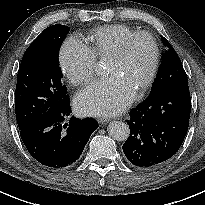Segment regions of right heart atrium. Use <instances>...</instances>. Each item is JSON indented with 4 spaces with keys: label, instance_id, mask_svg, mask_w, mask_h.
<instances>
[{
    "label": "right heart atrium",
    "instance_id": "d8ad5b80",
    "mask_svg": "<svg viewBox=\"0 0 205 205\" xmlns=\"http://www.w3.org/2000/svg\"><path fill=\"white\" fill-rule=\"evenodd\" d=\"M58 61L63 74L73 85H84L94 77L96 58L89 47L76 36L63 42Z\"/></svg>",
    "mask_w": 205,
    "mask_h": 205
}]
</instances>
